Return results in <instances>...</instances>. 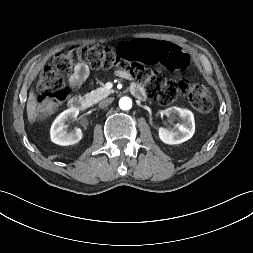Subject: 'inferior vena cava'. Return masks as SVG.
Segmentation results:
<instances>
[{
    "label": "inferior vena cava",
    "instance_id": "obj_1",
    "mask_svg": "<svg viewBox=\"0 0 253 253\" xmlns=\"http://www.w3.org/2000/svg\"><path fill=\"white\" fill-rule=\"evenodd\" d=\"M111 102H112V99H111V98L104 99V100H102V101L99 102L98 106H99L100 108H105V107H107Z\"/></svg>",
    "mask_w": 253,
    "mask_h": 253
}]
</instances>
